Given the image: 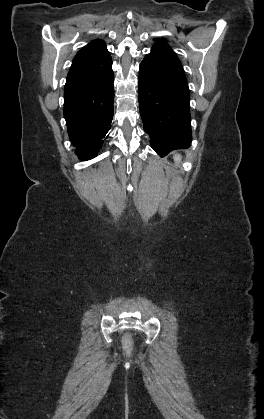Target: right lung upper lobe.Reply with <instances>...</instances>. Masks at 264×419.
<instances>
[{"mask_svg": "<svg viewBox=\"0 0 264 419\" xmlns=\"http://www.w3.org/2000/svg\"><path fill=\"white\" fill-rule=\"evenodd\" d=\"M110 53L103 41H92L82 48L73 59L65 88L97 83L112 72Z\"/></svg>", "mask_w": 264, "mask_h": 419, "instance_id": "1", "label": "right lung upper lobe"}]
</instances>
